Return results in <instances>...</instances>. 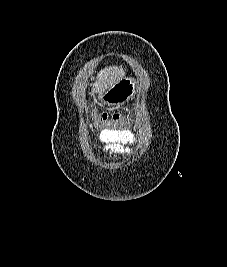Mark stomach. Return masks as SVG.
I'll list each match as a JSON object with an SVG mask.
<instances>
[{
    "mask_svg": "<svg viewBox=\"0 0 227 267\" xmlns=\"http://www.w3.org/2000/svg\"><path fill=\"white\" fill-rule=\"evenodd\" d=\"M120 81L117 83L118 87H108L107 91H96L93 104H100V101H111L115 107H122V101L134 100V92L137 91L136 87H140V83H147L132 82V77H121Z\"/></svg>",
    "mask_w": 227,
    "mask_h": 267,
    "instance_id": "stomach-1",
    "label": "stomach"
}]
</instances>
